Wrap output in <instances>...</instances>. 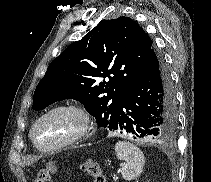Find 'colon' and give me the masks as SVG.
I'll return each instance as SVG.
<instances>
[{
	"label": "colon",
	"mask_w": 211,
	"mask_h": 182,
	"mask_svg": "<svg viewBox=\"0 0 211 182\" xmlns=\"http://www.w3.org/2000/svg\"><path fill=\"white\" fill-rule=\"evenodd\" d=\"M81 170L93 178L94 182H107L99 163L96 161H85L81 165ZM56 171V166L49 164L44 170L37 174L35 182H49L51 174H54Z\"/></svg>",
	"instance_id": "colon-1"
}]
</instances>
